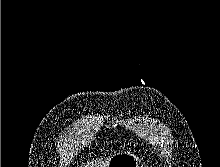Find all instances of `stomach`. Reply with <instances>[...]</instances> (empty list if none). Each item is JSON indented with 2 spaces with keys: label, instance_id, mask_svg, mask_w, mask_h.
I'll return each mask as SVG.
<instances>
[{
  "label": "stomach",
  "instance_id": "0dacf381",
  "mask_svg": "<svg viewBox=\"0 0 220 167\" xmlns=\"http://www.w3.org/2000/svg\"><path fill=\"white\" fill-rule=\"evenodd\" d=\"M140 159L134 153L118 152L114 154L107 167H139Z\"/></svg>",
  "mask_w": 220,
  "mask_h": 167
}]
</instances>
